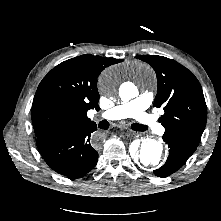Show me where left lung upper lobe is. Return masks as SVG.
<instances>
[{
	"label": "left lung upper lobe",
	"instance_id": "5c2ea615",
	"mask_svg": "<svg viewBox=\"0 0 221 221\" xmlns=\"http://www.w3.org/2000/svg\"><path fill=\"white\" fill-rule=\"evenodd\" d=\"M149 63L157 75L154 106L163 107L160 122L164 135L177 136L198 144L207 120V107L202 87L187 68L158 55H137Z\"/></svg>",
	"mask_w": 221,
	"mask_h": 221
}]
</instances>
